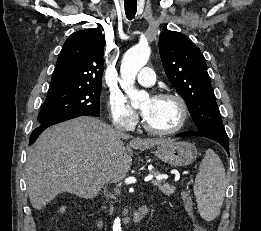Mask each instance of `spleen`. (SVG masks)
I'll return each mask as SVG.
<instances>
[{"label":"spleen","mask_w":261,"mask_h":231,"mask_svg":"<svg viewBox=\"0 0 261 231\" xmlns=\"http://www.w3.org/2000/svg\"><path fill=\"white\" fill-rule=\"evenodd\" d=\"M226 187V174L221 159L212 149L206 150L194 185L198 211L206 221L214 220L219 214Z\"/></svg>","instance_id":"spleen-1"}]
</instances>
